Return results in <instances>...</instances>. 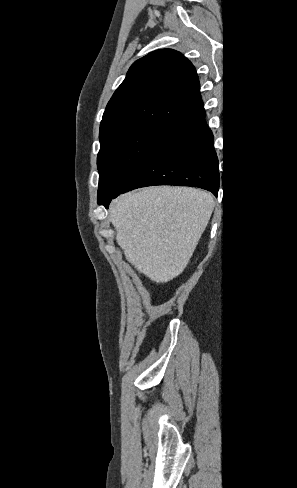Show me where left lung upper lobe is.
I'll return each instance as SVG.
<instances>
[{"label":"left lung upper lobe","instance_id":"1","mask_svg":"<svg viewBox=\"0 0 297 488\" xmlns=\"http://www.w3.org/2000/svg\"><path fill=\"white\" fill-rule=\"evenodd\" d=\"M223 139H225V138H223ZM223 141H224L223 143H225V140H223ZM223 145H224V144H223ZM223 147H224V146H223Z\"/></svg>","mask_w":297,"mask_h":488}]
</instances>
